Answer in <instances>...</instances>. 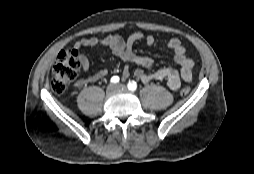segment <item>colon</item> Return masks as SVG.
Instances as JSON below:
<instances>
[{
    "label": "colon",
    "instance_id": "obj_1",
    "mask_svg": "<svg viewBox=\"0 0 254 174\" xmlns=\"http://www.w3.org/2000/svg\"><path fill=\"white\" fill-rule=\"evenodd\" d=\"M79 67L78 51L76 49H67L60 52L52 68V90L55 93L64 92L68 84L76 78ZM180 92L182 95H187L190 89L189 87H183Z\"/></svg>",
    "mask_w": 254,
    "mask_h": 174
}]
</instances>
